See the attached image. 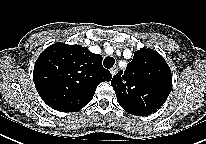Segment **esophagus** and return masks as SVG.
Here are the masks:
<instances>
[{"label": "esophagus", "mask_w": 206, "mask_h": 144, "mask_svg": "<svg viewBox=\"0 0 206 144\" xmlns=\"http://www.w3.org/2000/svg\"><path fill=\"white\" fill-rule=\"evenodd\" d=\"M110 72H111L112 76H114L117 73V67L116 66L112 67Z\"/></svg>", "instance_id": "obj_1"}]
</instances>
